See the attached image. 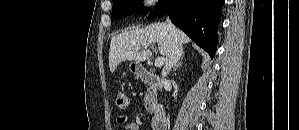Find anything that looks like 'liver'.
Segmentation results:
<instances>
[{
	"mask_svg": "<svg viewBox=\"0 0 299 130\" xmlns=\"http://www.w3.org/2000/svg\"><path fill=\"white\" fill-rule=\"evenodd\" d=\"M181 44L190 42L188 36L178 30ZM158 44L161 55L166 58L170 54L172 39L166 23H155L145 28H136L112 37L109 49V67L113 73L123 61L143 62L152 56V52L145 46ZM143 47L144 49L140 50Z\"/></svg>",
	"mask_w": 299,
	"mask_h": 130,
	"instance_id": "6515ba94",
	"label": "liver"
}]
</instances>
